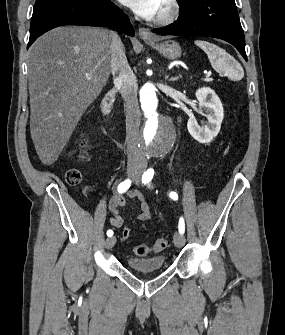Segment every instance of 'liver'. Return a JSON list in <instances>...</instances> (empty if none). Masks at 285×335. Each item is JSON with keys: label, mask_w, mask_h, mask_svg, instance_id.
Listing matches in <instances>:
<instances>
[{"label": "liver", "mask_w": 285, "mask_h": 335, "mask_svg": "<svg viewBox=\"0 0 285 335\" xmlns=\"http://www.w3.org/2000/svg\"><path fill=\"white\" fill-rule=\"evenodd\" d=\"M113 32L90 26L55 28L28 52L30 132L45 166L54 164L111 72ZM85 74H92L87 80Z\"/></svg>", "instance_id": "6515ba94"}]
</instances>
